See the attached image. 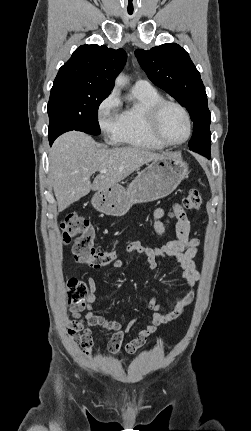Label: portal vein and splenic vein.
Here are the masks:
<instances>
[{"label":"portal vein and splenic vein","mask_w":251,"mask_h":431,"mask_svg":"<svg viewBox=\"0 0 251 431\" xmlns=\"http://www.w3.org/2000/svg\"><path fill=\"white\" fill-rule=\"evenodd\" d=\"M108 170L107 169H103V170H101L100 172L101 173H106Z\"/></svg>","instance_id":"portal-vein-and-splenic-vein-1"}]
</instances>
